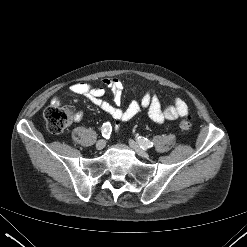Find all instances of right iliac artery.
I'll return each mask as SVG.
<instances>
[{
	"instance_id": "obj_1",
	"label": "right iliac artery",
	"mask_w": 247,
	"mask_h": 247,
	"mask_svg": "<svg viewBox=\"0 0 247 247\" xmlns=\"http://www.w3.org/2000/svg\"><path fill=\"white\" fill-rule=\"evenodd\" d=\"M112 131V126L109 122H106L102 125V136L104 138H109Z\"/></svg>"
}]
</instances>
